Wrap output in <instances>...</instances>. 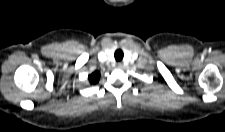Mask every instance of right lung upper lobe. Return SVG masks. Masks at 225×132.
I'll return each instance as SVG.
<instances>
[{
	"mask_svg": "<svg viewBox=\"0 0 225 132\" xmlns=\"http://www.w3.org/2000/svg\"><path fill=\"white\" fill-rule=\"evenodd\" d=\"M99 75H100V73L98 71H95L94 73H92L91 75H89V77H88L89 82L91 84L98 83V81H99Z\"/></svg>",
	"mask_w": 225,
	"mask_h": 132,
	"instance_id": "1",
	"label": "right lung upper lobe"
}]
</instances>
